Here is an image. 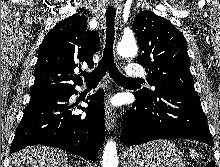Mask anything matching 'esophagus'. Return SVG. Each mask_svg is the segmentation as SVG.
I'll use <instances>...</instances> for the list:
<instances>
[{
    "instance_id": "34e87169",
    "label": "esophagus",
    "mask_w": 220,
    "mask_h": 167,
    "mask_svg": "<svg viewBox=\"0 0 220 167\" xmlns=\"http://www.w3.org/2000/svg\"><path fill=\"white\" fill-rule=\"evenodd\" d=\"M110 95H111V93L109 92L107 95V98L105 100V107H104L105 125L107 128V131H110L111 129H113L114 123H115V114L112 111V107L110 106V103H109Z\"/></svg>"
}]
</instances>
